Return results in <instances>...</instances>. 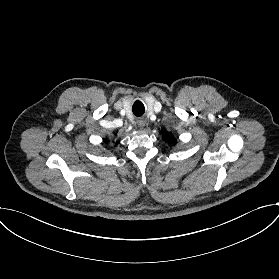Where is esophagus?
<instances>
[{
  "label": "esophagus",
  "instance_id": "1",
  "mask_svg": "<svg viewBox=\"0 0 279 279\" xmlns=\"http://www.w3.org/2000/svg\"><path fill=\"white\" fill-rule=\"evenodd\" d=\"M136 124H137L139 129H143L145 127V121L143 119L137 120Z\"/></svg>",
  "mask_w": 279,
  "mask_h": 279
}]
</instances>
